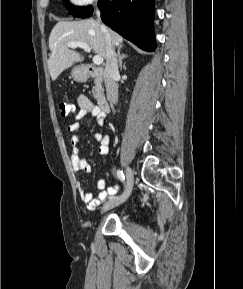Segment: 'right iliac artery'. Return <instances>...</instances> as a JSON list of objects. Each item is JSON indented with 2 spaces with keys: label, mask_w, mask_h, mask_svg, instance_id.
<instances>
[{
  "label": "right iliac artery",
  "mask_w": 243,
  "mask_h": 289,
  "mask_svg": "<svg viewBox=\"0 0 243 289\" xmlns=\"http://www.w3.org/2000/svg\"><path fill=\"white\" fill-rule=\"evenodd\" d=\"M117 177L125 184V177L121 170H117ZM112 198V197H110Z\"/></svg>",
  "instance_id": "obj_1"
}]
</instances>
